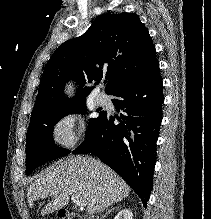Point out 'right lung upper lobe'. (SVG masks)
<instances>
[{
	"label": "right lung upper lobe",
	"instance_id": "1",
	"mask_svg": "<svg viewBox=\"0 0 211 219\" xmlns=\"http://www.w3.org/2000/svg\"><path fill=\"white\" fill-rule=\"evenodd\" d=\"M156 49L147 28L136 14H104L77 38L57 48L47 63L31 118L85 99L93 87L78 88L67 99L65 83L107 79L105 92L111 94L130 78L147 69L156 59Z\"/></svg>",
	"mask_w": 211,
	"mask_h": 219
}]
</instances>
